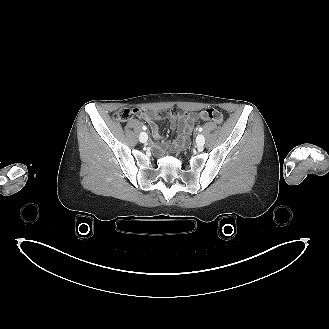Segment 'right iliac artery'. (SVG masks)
<instances>
[{"label": "right iliac artery", "instance_id": "1", "mask_svg": "<svg viewBox=\"0 0 329 329\" xmlns=\"http://www.w3.org/2000/svg\"><path fill=\"white\" fill-rule=\"evenodd\" d=\"M143 130H147V127L145 125L142 126Z\"/></svg>", "mask_w": 329, "mask_h": 329}]
</instances>
